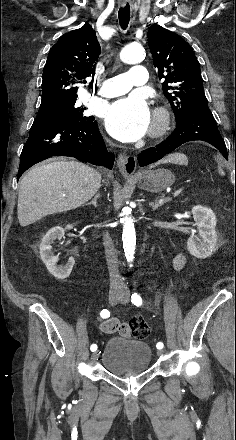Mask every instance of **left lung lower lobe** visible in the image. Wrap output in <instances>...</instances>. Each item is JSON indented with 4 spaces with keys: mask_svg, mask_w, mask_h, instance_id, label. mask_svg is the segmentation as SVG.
<instances>
[{
    "mask_svg": "<svg viewBox=\"0 0 236 440\" xmlns=\"http://www.w3.org/2000/svg\"><path fill=\"white\" fill-rule=\"evenodd\" d=\"M202 140L216 147L228 159L227 149L217 123L208 107L201 105L190 110L172 134L155 147L142 151L137 159L141 167L154 163L188 141Z\"/></svg>",
    "mask_w": 236,
    "mask_h": 440,
    "instance_id": "left-lung-lower-lobe-1",
    "label": "left lung lower lobe"
}]
</instances>
